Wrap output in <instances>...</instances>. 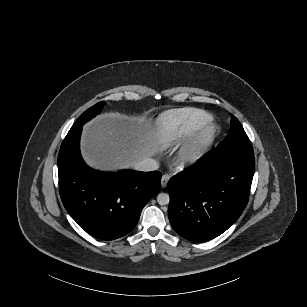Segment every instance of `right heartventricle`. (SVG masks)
I'll return each mask as SVG.
<instances>
[{"instance_id": "obj_1", "label": "right heart ventricle", "mask_w": 307, "mask_h": 307, "mask_svg": "<svg viewBox=\"0 0 307 307\" xmlns=\"http://www.w3.org/2000/svg\"><path fill=\"white\" fill-rule=\"evenodd\" d=\"M213 121L211 114L191 108L161 113L157 119L163 147L178 143L206 128Z\"/></svg>"}]
</instances>
